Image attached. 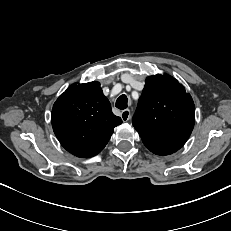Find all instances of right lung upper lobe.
<instances>
[{"mask_svg": "<svg viewBox=\"0 0 231 231\" xmlns=\"http://www.w3.org/2000/svg\"><path fill=\"white\" fill-rule=\"evenodd\" d=\"M51 121L61 145L81 158L100 153L122 123L96 81L72 84L54 103Z\"/></svg>", "mask_w": 231, "mask_h": 231, "instance_id": "1", "label": "right lung upper lobe"}]
</instances>
